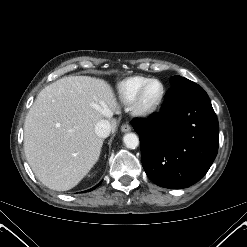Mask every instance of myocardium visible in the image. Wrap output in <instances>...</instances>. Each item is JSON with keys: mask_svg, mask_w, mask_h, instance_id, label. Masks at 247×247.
I'll return each mask as SVG.
<instances>
[{"mask_svg": "<svg viewBox=\"0 0 247 247\" xmlns=\"http://www.w3.org/2000/svg\"><path fill=\"white\" fill-rule=\"evenodd\" d=\"M153 83H158L161 86L160 96L156 100L155 103H153L150 106H145L143 104V96H144L147 88ZM165 94H166V89H165L164 84L158 79H150L144 85H142V87L138 90L137 94L135 95L133 101L131 102L132 113L135 116H139V117H146V116L153 114L161 106V104L164 100Z\"/></svg>", "mask_w": 247, "mask_h": 247, "instance_id": "obj_1", "label": "myocardium"}]
</instances>
